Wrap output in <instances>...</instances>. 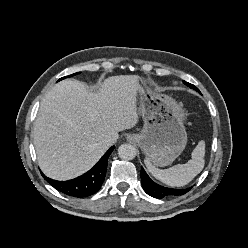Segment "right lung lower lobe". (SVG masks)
I'll return each instance as SVG.
<instances>
[{"instance_id":"obj_1","label":"right lung lower lobe","mask_w":248,"mask_h":248,"mask_svg":"<svg viewBox=\"0 0 248 248\" xmlns=\"http://www.w3.org/2000/svg\"><path fill=\"white\" fill-rule=\"evenodd\" d=\"M114 150L112 146L98 161V163L85 174L69 180V181H57L46 177L44 174L42 176L47 180L54 188L60 192L74 196V197H86L96 193L106 175L108 158L111 152Z\"/></svg>"}]
</instances>
